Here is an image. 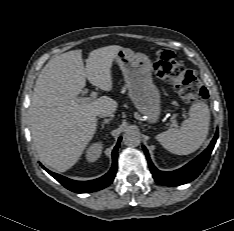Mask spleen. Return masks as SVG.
Masks as SVG:
<instances>
[{"instance_id":"3e777b00","label":"spleen","mask_w":234,"mask_h":231,"mask_svg":"<svg viewBox=\"0 0 234 231\" xmlns=\"http://www.w3.org/2000/svg\"><path fill=\"white\" fill-rule=\"evenodd\" d=\"M210 124V111L204 102L194 103L189 110V118L180 128H171L156 135L157 141L169 152L188 155L195 152L205 141Z\"/></svg>"}]
</instances>
